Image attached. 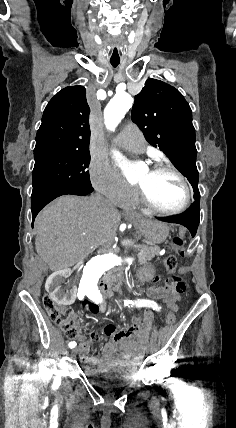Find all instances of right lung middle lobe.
<instances>
[{
  "label": "right lung middle lobe",
  "mask_w": 236,
  "mask_h": 428,
  "mask_svg": "<svg viewBox=\"0 0 236 428\" xmlns=\"http://www.w3.org/2000/svg\"><path fill=\"white\" fill-rule=\"evenodd\" d=\"M32 197L56 189L91 188L89 172L90 152L86 150L34 151Z\"/></svg>",
  "instance_id": "obj_1"
}]
</instances>
